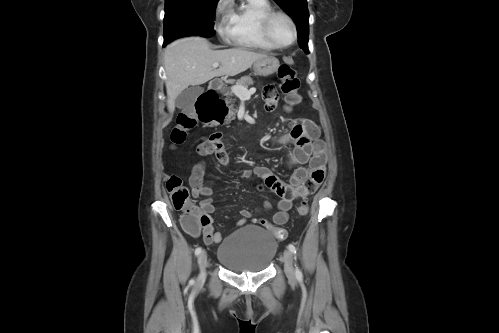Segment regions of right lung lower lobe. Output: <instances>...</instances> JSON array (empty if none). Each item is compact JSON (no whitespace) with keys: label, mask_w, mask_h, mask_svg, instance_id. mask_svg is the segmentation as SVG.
Instances as JSON below:
<instances>
[{"label":"right lung lower lobe","mask_w":499,"mask_h":333,"mask_svg":"<svg viewBox=\"0 0 499 333\" xmlns=\"http://www.w3.org/2000/svg\"><path fill=\"white\" fill-rule=\"evenodd\" d=\"M166 44H167V42H164V45H163V46H165Z\"/></svg>","instance_id":"1"}]
</instances>
